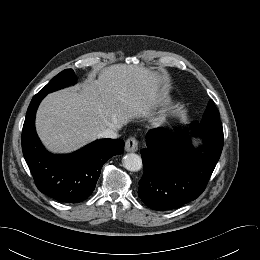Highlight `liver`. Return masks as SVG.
<instances>
[{"label":"liver","mask_w":260,"mask_h":260,"mask_svg":"<svg viewBox=\"0 0 260 260\" xmlns=\"http://www.w3.org/2000/svg\"><path fill=\"white\" fill-rule=\"evenodd\" d=\"M166 97L165 79L144 67L115 64L89 75L79 86L51 93L41 102L36 130L54 153H71L94 141L107 128L119 129L133 119L152 118Z\"/></svg>","instance_id":"liver-1"}]
</instances>
